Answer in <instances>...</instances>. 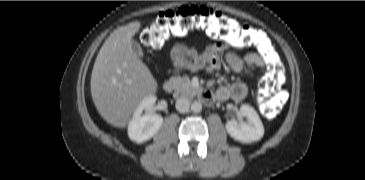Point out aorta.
<instances>
[{
	"label": "aorta",
	"mask_w": 365,
	"mask_h": 180,
	"mask_svg": "<svg viewBox=\"0 0 365 180\" xmlns=\"http://www.w3.org/2000/svg\"><path fill=\"white\" fill-rule=\"evenodd\" d=\"M191 110H192L194 113H199V112H201V110H202V104H201L200 102L194 101V102L191 104Z\"/></svg>",
	"instance_id": "obj_1"
}]
</instances>
